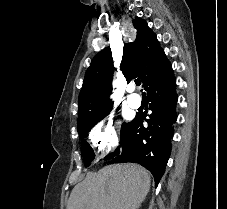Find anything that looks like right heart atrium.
Returning <instances> with one entry per match:
<instances>
[{
  "mask_svg": "<svg viewBox=\"0 0 227 209\" xmlns=\"http://www.w3.org/2000/svg\"><path fill=\"white\" fill-rule=\"evenodd\" d=\"M90 143L98 149V152L107 154L118 144V138L112 122L106 125L98 124L89 134Z\"/></svg>",
  "mask_w": 227,
  "mask_h": 209,
  "instance_id": "1",
  "label": "right heart atrium"
}]
</instances>
